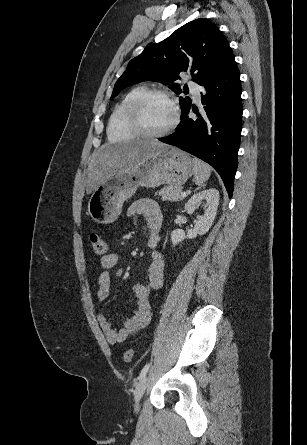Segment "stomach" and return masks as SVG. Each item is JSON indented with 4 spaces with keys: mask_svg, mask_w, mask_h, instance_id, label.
I'll list each match as a JSON object with an SVG mask.
<instances>
[{
    "mask_svg": "<svg viewBox=\"0 0 307 445\" xmlns=\"http://www.w3.org/2000/svg\"><path fill=\"white\" fill-rule=\"evenodd\" d=\"M193 174V160L177 148H162L130 170L110 174L98 184L88 202V212L100 225H110L122 212L125 200L138 186L155 188L160 184L181 186Z\"/></svg>",
    "mask_w": 307,
    "mask_h": 445,
    "instance_id": "stomach-1",
    "label": "stomach"
}]
</instances>
